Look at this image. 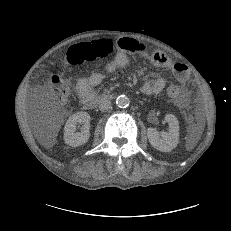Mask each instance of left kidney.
Returning <instances> with one entry per match:
<instances>
[{"instance_id": "obj_1", "label": "left kidney", "mask_w": 231, "mask_h": 231, "mask_svg": "<svg viewBox=\"0 0 231 231\" xmlns=\"http://www.w3.org/2000/svg\"><path fill=\"white\" fill-rule=\"evenodd\" d=\"M165 120L169 124V132L159 133L154 128L147 129V136L152 147L162 152L173 150L179 142V122L172 114H167Z\"/></svg>"}]
</instances>
